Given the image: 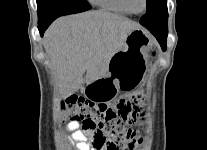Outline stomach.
<instances>
[{
    "label": "stomach",
    "instance_id": "0dacf381",
    "mask_svg": "<svg viewBox=\"0 0 207 150\" xmlns=\"http://www.w3.org/2000/svg\"><path fill=\"white\" fill-rule=\"evenodd\" d=\"M152 44L151 36L143 29H134L126 37L122 49L110 60L105 77L87 84L84 93L96 101L112 100L120 89L137 86L147 69V53Z\"/></svg>",
    "mask_w": 207,
    "mask_h": 150
}]
</instances>
